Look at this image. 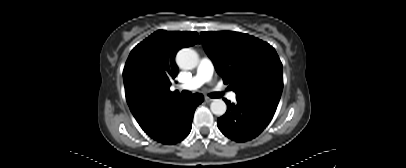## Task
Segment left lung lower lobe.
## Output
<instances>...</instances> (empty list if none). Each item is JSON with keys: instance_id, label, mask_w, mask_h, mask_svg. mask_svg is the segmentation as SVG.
Segmentation results:
<instances>
[{"instance_id": "0a47b994", "label": "left lung lower lobe", "mask_w": 406, "mask_h": 168, "mask_svg": "<svg viewBox=\"0 0 406 168\" xmlns=\"http://www.w3.org/2000/svg\"><path fill=\"white\" fill-rule=\"evenodd\" d=\"M227 103V112L217 120L220 131L228 138L244 142L258 136L269 124L277 107L237 98Z\"/></svg>"}]
</instances>
